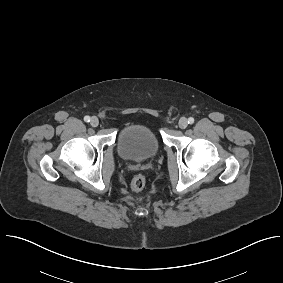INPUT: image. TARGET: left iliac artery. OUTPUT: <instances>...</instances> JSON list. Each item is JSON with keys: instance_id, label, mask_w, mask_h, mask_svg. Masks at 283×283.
I'll return each mask as SVG.
<instances>
[{"instance_id": "left-iliac-artery-1", "label": "left iliac artery", "mask_w": 283, "mask_h": 283, "mask_svg": "<svg viewBox=\"0 0 283 283\" xmlns=\"http://www.w3.org/2000/svg\"><path fill=\"white\" fill-rule=\"evenodd\" d=\"M193 123H194V118L193 117L188 118V124H193Z\"/></svg>"}]
</instances>
